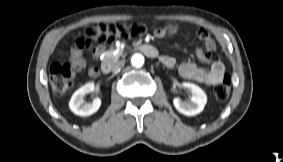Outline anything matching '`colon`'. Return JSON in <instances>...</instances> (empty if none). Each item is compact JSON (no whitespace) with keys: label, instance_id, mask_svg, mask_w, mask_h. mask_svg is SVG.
I'll list each match as a JSON object with an SVG mask.
<instances>
[{"label":"colon","instance_id":"colon-1","mask_svg":"<svg viewBox=\"0 0 283 162\" xmlns=\"http://www.w3.org/2000/svg\"><path fill=\"white\" fill-rule=\"evenodd\" d=\"M147 28L143 24H106L98 23L88 26L85 29V36L89 40L105 43L115 39H130L144 35ZM52 92L55 95H62L67 92L74 81V69L71 64L54 63L49 73ZM231 90V80L225 75L215 87V95L219 100L226 99Z\"/></svg>","mask_w":283,"mask_h":162}]
</instances>
